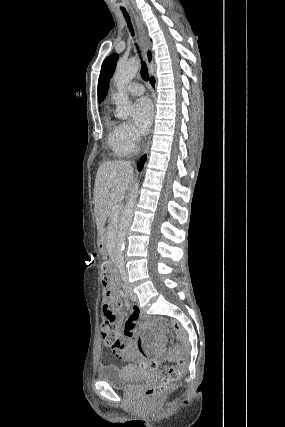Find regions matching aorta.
Wrapping results in <instances>:
<instances>
[{"label": "aorta", "instance_id": "1", "mask_svg": "<svg viewBox=\"0 0 285 427\" xmlns=\"http://www.w3.org/2000/svg\"><path fill=\"white\" fill-rule=\"evenodd\" d=\"M139 69V61L136 58H131L127 62L118 63L114 74V83L117 87V92L113 95V100L116 104L117 116L122 119H127L133 111V106L129 101L126 92V85L135 77ZM139 183L134 184L128 202L124 207L123 214L119 224L117 234V247L115 254V262L119 269L124 268V244L127 230L132 222L134 207L137 202Z\"/></svg>", "mask_w": 285, "mask_h": 427}]
</instances>
